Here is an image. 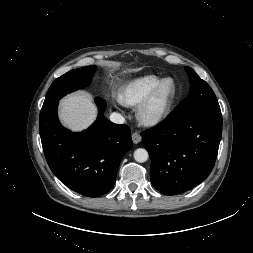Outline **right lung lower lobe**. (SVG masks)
<instances>
[{"mask_svg":"<svg viewBox=\"0 0 253 253\" xmlns=\"http://www.w3.org/2000/svg\"><path fill=\"white\" fill-rule=\"evenodd\" d=\"M99 115L81 133L63 128L57 117L58 102L41 110L39 132L47 163L54 175L71 190L98 197L111 190L123 156L132 148L127 125L106 120V102L95 98Z\"/></svg>","mask_w":253,"mask_h":253,"instance_id":"1","label":"right lung lower lobe"}]
</instances>
